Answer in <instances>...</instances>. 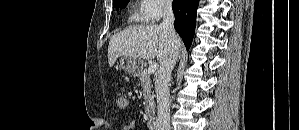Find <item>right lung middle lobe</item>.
<instances>
[{"instance_id": "obj_1", "label": "right lung middle lobe", "mask_w": 299, "mask_h": 130, "mask_svg": "<svg viewBox=\"0 0 299 130\" xmlns=\"http://www.w3.org/2000/svg\"><path fill=\"white\" fill-rule=\"evenodd\" d=\"M129 1L130 0H117V1L113 2V7L114 8H117V7H120V8L126 7Z\"/></svg>"}]
</instances>
